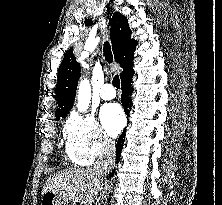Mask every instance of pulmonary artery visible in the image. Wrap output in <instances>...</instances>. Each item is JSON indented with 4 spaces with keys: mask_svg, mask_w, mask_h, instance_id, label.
<instances>
[{
    "mask_svg": "<svg viewBox=\"0 0 222 205\" xmlns=\"http://www.w3.org/2000/svg\"><path fill=\"white\" fill-rule=\"evenodd\" d=\"M100 97L104 100H111L116 96L115 88L110 83H105L100 89Z\"/></svg>",
    "mask_w": 222,
    "mask_h": 205,
    "instance_id": "pulmonary-artery-1",
    "label": "pulmonary artery"
}]
</instances>
